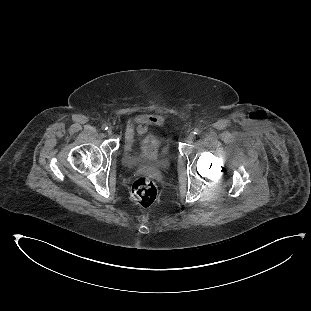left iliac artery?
I'll use <instances>...</instances> for the list:
<instances>
[{"label": "left iliac artery", "mask_w": 311, "mask_h": 311, "mask_svg": "<svg viewBox=\"0 0 311 311\" xmlns=\"http://www.w3.org/2000/svg\"><path fill=\"white\" fill-rule=\"evenodd\" d=\"M200 133H201V130H200V129L196 128V129L194 130V134L199 135Z\"/></svg>", "instance_id": "left-iliac-artery-1"}]
</instances>
